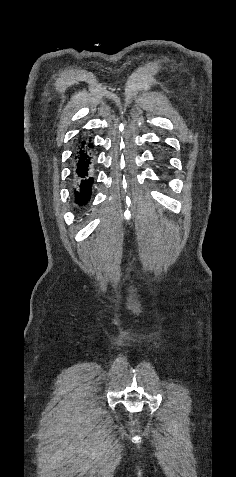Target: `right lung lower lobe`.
Returning <instances> with one entry per match:
<instances>
[{"label": "right lung lower lobe", "mask_w": 236, "mask_h": 477, "mask_svg": "<svg viewBox=\"0 0 236 477\" xmlns=\"http://www.w3.org/2000/svg\"><path fill=\"white\" fill-rule=\"evenodd\" d=\"M93 144L90 140L80 139L74 156V201L84 206L90 199L92 177Z\"/></svg>", "instance_id": "98d812e1"}]
</instances>
